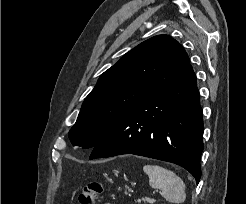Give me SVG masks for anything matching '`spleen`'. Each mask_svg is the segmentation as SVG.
<instances>
[{"mask_svg":"<svg viewBox=\"0 0 246 204\" xmlns=\"http://www.w3.org/2000/svg\"><path fill=\"white\" fill-rule=\"evenodd\" d=\"M143 171L149 177V185L160 189L161 195L170 203L180 204L185 201V183L173 171L159 165H145Z\"/></svg>","mask_w":246,"mask_h":204,"instance_id":"spleen-1","label":"spleen"}]
</instances>
